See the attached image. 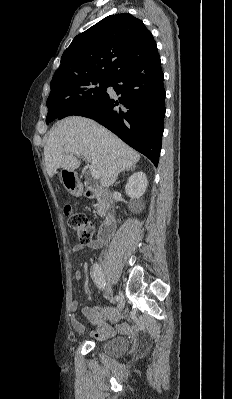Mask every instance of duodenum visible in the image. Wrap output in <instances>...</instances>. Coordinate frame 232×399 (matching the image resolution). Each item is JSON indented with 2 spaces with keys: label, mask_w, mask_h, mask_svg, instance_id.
<instances>
[{
  "label": "duodenum",
  "mask_w": 232,
  "mask_h": 399,
  "mask_svg": "<svg viewBox=\"0 0 232 399\" xmlns=\"http://www.w3.org/2000/svg\"><path fill=\"white\" fill-rule=\"evenodd\" d=\"M84 193L88 198L105 195L103 191L92 186H87L84 190ZM116 226L117 220L115 216L109 215L98 231V241L101 243H107L113 236Z\"/></svg>",
  "instance_id": "410a0bca"
}]
</instances>
